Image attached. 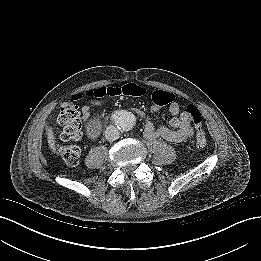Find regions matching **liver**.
Masks as SVG:
<instances>
[{
	"mask_svg": "<svg viewBox=\"0 0 261 261\" xmlns=\"http://www.w3.org/2000/svg\"><path fill=\"white\" fill-rule=\"evenodd\" d=\"M46 134H47V142L49 145V148L54 152L55 151V136L53 133V130L50 126L46 128Z\"/></svg>",
	"mask_w": 261,
	"mask_h": 261,
	"instance_id": "6515ba94",
	"label": "liver"
}]
</instances>
